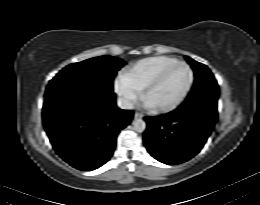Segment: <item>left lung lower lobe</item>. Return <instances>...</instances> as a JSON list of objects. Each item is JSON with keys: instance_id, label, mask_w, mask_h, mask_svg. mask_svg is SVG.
I'll return each instance as SVG.
<instances>
[{"instance_id": "left-lung-lower-lobe-1", "label": "left lung lower lobe", "mask_w": 260, "mask_h": 205, "mask_svg": "<svg viewBox=\"0 0 260 205\" xmlns=\"http://www.w3.org/2000/svg\"><path fill=\"white\" fill-rule=\"evenodd\" d=\"M144 144L158 161L173 165L194 157L217 120V112L202 106H180L157 117H145Z\"/></svg>"}]
</instances>
